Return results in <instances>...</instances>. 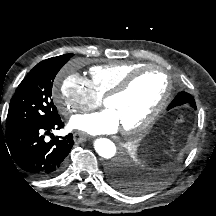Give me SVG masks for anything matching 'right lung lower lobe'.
I'll use <instances>...</instances> for the list:
<instances>
[{
  "mask_svg": "<svg viewBox=\"0 0 216 216\" xmlns=\"http://www.w3.org/2000/svg\"><path fill=\"white\" fill-rule=\"evenodd\" d=\"M63 126L60 117L50 122L18 126L5 130L4 134L1 132L0 141L21 169L37 178H51L63 170L74 141L73 135L68 134L65 137L51 135L53 139L46 142L45 135Z\"/></svg>",
  "mask_w": 216,
  "mask_h": 216,
  "instance_id": "1",
  "label": "right lung lower lobe"
}]
</instances>
